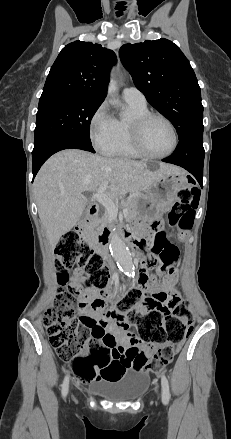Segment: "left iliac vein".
<instances>
[{"label": "left iliac vein", "mask_w": 231, "mask_h": 439, "mask_svg": "<svg viewBox=\"0 0 231 439\" xmlns=\"http://www.w3.org/2000/svg\"><path fill=\"white\" fill-rule=\"evenodd\" d=\"M155 390L158 391V386H156Z\"/></svg>", "instance_id": "1"}]
</instances>
